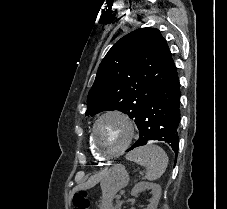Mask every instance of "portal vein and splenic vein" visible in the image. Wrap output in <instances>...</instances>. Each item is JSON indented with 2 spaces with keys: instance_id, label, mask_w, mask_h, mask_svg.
<instances>
[{
  "instance_id": "18ae733b",
  "label": "portal vein and splenic vein",
  "mask_w": 227,
  "mask_h": 209,
  "mask_svg": "<svg viewBox=\"0 0 227 209\" xmlns=\"http://www.w3.org/2000/svg\"><path fill=\"white\" fill-rule=\"evenodd\" d=\"M122 194H125L126 193V190L125 189H122L121 191H120ZM118 194L116 197L119 199V198H121L123 195L122 194Z\"/></svg>"
}]
</instances>
